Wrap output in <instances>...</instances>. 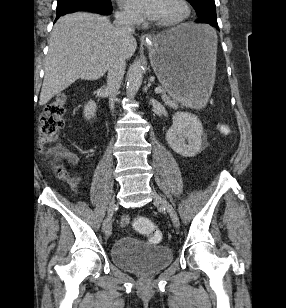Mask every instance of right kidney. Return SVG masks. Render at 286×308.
<instances>
[{
  "instance_id": "obj_1",
  "label": "right kidney",
  "mask_w": 286,
  "mask_h": 308,
  "mask_svg": "<svg viewBox=\"0 0 286 308\" xmlns=\"http://www.w3.org/2000/svg\"><path fill=\"white\" fill-rule=\"evenodd\" d=\"M96 109H97L96 103L94 101H89L84 107V117L87 120L94 118Z\"/></svg>"
}]
</instances>
